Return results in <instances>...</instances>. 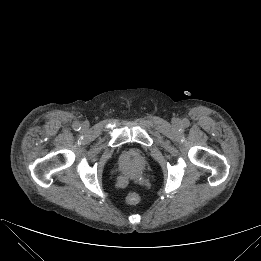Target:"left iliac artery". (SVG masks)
Here are the masks:
<instances>
[{
  "instance_id": "44dca946",
  "label": "left iliac artery",
  "mask_w": 261,
  "mask_h": 261,
  "mask_svg": "<svg viewBox=\"0 0 261 261\" xmlns=\"http://www.w3.org/2000/svg\"><path fill=\"white\" fill-rule=\"evenodd\" d=\"M189 120H187V119H184L183 120V125L185 126V127H188L189 126Z\"/></svg>"
}]
</instances>
